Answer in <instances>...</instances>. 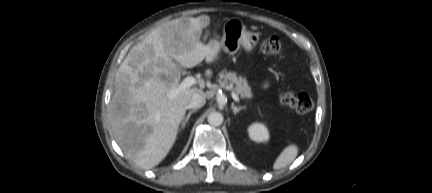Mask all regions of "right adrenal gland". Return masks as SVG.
Here are the masks:
<instances>
[{"label": "right adrenal gland", "instance_id": "2a0ac1e0", "mask_svg": "<svg viewBox=\"0 0 432 193\" xmlns=\"http://www.w3.org/2000/svg\"><path fill=\"white\" fill-rule=\"evenodd\" d=\"M196 111H197V109H192V110L189 111V113H188L186 116H184V117L182 118V123H181V127H182V128H185L187 122L189 121L190 116H191L194 112H196Z\"/></svg>", "mask_w": 432, "mask_h": 193}]
</instances>
